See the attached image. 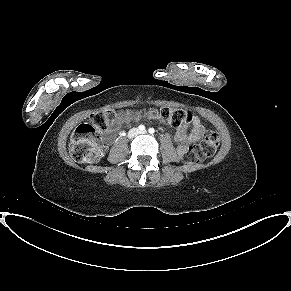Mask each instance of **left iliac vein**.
<instances>
[{
  "label": "left iliac vein",
  "instance_id": "1",
  "mask_svg": "<svg viewBox=\"0 0 291 291\" xmlns=\"http://www.w3.org/2000/svg\"><path fill=\"white\" fill-rule=\"evenodd\" d=\"M140 133H141V134H145V133H146V131L144 130V131H141Z\"/></svg>",
  "mask_w": 291,
  "mask_h": 291
}]
</instances>
